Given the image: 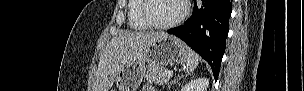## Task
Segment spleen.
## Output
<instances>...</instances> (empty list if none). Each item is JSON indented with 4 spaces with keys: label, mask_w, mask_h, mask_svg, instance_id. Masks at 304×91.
<instances>
[{
    "label": "spleen",
    "mask_w": 304,
    "mask_h": 91,
    "mask_svg": "<svg viewBox=\"0 0 304 91\" xmlns=\"http://www.w3.org/2000/svg\"><path fill=\"white\" fill-rule=\"evenodd\" d=\"M199 64V56L192 50L189 49V55L187 59V64L185 70L187 72H192Z\"/></svg>",
    "instance_id": "3e777b00"
}]
</instances>
